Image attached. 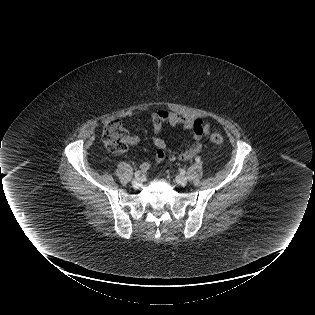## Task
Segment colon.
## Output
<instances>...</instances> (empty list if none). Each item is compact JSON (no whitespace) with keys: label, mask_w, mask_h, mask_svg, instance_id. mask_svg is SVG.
<instances>
[{"label":"colon","mask_w":315,"mask_h":315,"mask_svg":"<svg viewBox=\"0 0 315 315\" xmlns=\"http://www.w3.org/2000/svg\"><path fill=\"white\" fill-rule=\"evenodd\" d=\"M128 138V131L118 120H112L103 127V142L112 153L125 152L128 148ZM209 139L215 145H222L224 142V137L218 132L211 133Z\"/></svg>","instance_id":"1"}]
</instances>
